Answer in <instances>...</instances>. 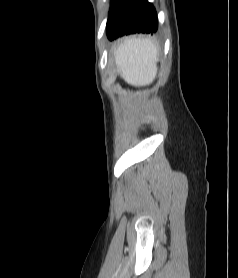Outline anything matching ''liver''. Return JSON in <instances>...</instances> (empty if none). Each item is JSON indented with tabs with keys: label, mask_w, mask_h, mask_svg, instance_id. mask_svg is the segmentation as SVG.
<instances>
[{
	"label": "liver",
	"mask_w": 238,
	"mask_h": 278,
	"mask_svg": "<svg viewBox=\"0 0 238 278\" xmlns=\"http://www.w3.org/2000/svg\"><path fill=\"white\" fill-rule=\"evenodd\" d=\"M158 47L149 38H126L115 50V64L120 76L130 85L145 86L157 74Z\"/></svg>",
	"instance_id": "6515ba94"
}]
</instances>
